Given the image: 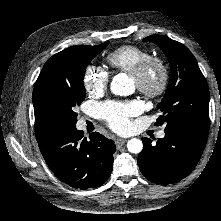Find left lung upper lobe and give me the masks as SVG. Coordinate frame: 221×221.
<instances>
[{
    "label": "left lung upper lobe",
    "mask_w": 221,
    "mask_h": 221,
    "mask_svg": "<svg viewBox=\"0 0 221 221\" xmlns=\"http://www.w3.org/2000/svg\"><path fill=\"white\" fill-rule=\"evenodd\" d=\"M157 44L167 56L171 73L168 88L157 105L162 115L155 125L165 130L189 128L204 134L209 132V89L193 54L183 44L163 35L144 39Z\"/></svg>",
    "instance_id": "obj_1"
}]
</instances>
